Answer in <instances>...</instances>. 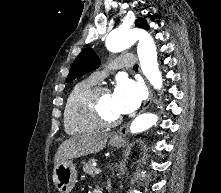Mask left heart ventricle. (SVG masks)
<instances>
[{
    "instance_id": "left-heart-ventricle-1",
    "label": "left heart ventricle",
    "mask_w": 221,
    "mask_h": 193,
    "mask_svg": "<svg viewBox=\"0 0 221 193\" xmlns=\"http://www.w3.org/2000/svg\"><path fill=\"white\" fill-rule=\"evenodd\" d=\"M101 107L105 115L109 118H115L120 116V114L115 109L113 99H112V92L106 91L101 97Z\"/></svg>"
}]
</instances>
